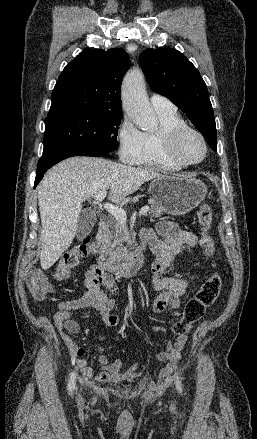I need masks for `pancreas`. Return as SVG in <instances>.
Masks as SVG:
<instances>
[{
  "mask_svg": "<svg viewBox=\"0 0 257 439\" xmlns=\"http://www.w3.org/2000/svg\"><path fill=\"white\" fill-rule=\"evenodd\" d=\"M150 214L152 217H160L165 212L164 207L155 198H150ZM111 231L106 233V245L104 253L110 259H120L126 252L124 242L129 243L130 237L126 223L115 221L110 225Z\"/></svg>",
  "mask_w": 257,
  "mask_h": 439,
  "instance_id": "1",
  "label": "pancreas"
}]
</instances>
